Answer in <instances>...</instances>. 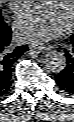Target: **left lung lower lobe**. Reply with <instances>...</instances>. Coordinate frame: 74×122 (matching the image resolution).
<instances>
[{"label":"left lung lower lobe","mask_w":74,"mask_h":122,"mask_svg":"<svg viewBox=\"0 0 74 122\" xmlns=\"http://www.w3.org/2000/svg\"><path fill=\"white\" fill-rule=\"evenodd\" d=\"M71 42L72 51H65L67 65L63 71L55 76L58 86L68 94H74V34L71 36Z\"/></svg>","instance_id":"obj_1"}]
</instances>
